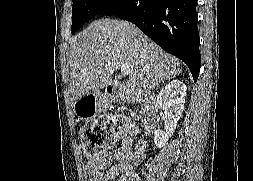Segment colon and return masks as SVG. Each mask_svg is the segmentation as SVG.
Returning <instances> with one entry per match:
<instances>
[{
  "label": "colon",
  "instance_id": "colon-1",
  "mask_svg": "<svg viewBox=\"0 0 253 181\" xmlns=\"http://www.w3.org/2000/svg\"><path fill=\"white\" fill-rule=\"evenodd\" d=\"M126 130L122 116L102 115L95 121L85 124L81 130V144L89 158L107 151L115 139ZM127 181H133L128 179Z\"/></svg>",
  "mask_w": 253,
  "mask_h": 181
}]
</instances>
